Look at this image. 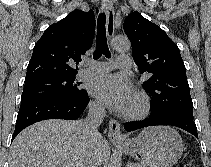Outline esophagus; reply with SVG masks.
I'll use <instances>...</instances> for the list:
<instances>
[{
    "label": "esophagus",
    "mask_w": 211,
    "mask_h": 167,
    "mask_svg": "<svg viewBox=\"0 0 211 167\" xmlns=\"http://www.w3.org/2000/svg\"><path fill=\"white\" fill-rule=\"evenodd\" d=\"M102 8L106 12L107 35H108V38L111 39L114 35V24H115V12H114V7H113L112 1L111 0H103ZM108 136L111 141H123L124 140L123 136L121 135L120 124L116 120L111 119L109 121Z\"/></svg>",
    "instance_id": "esophagus-1"
}]
</instances>
